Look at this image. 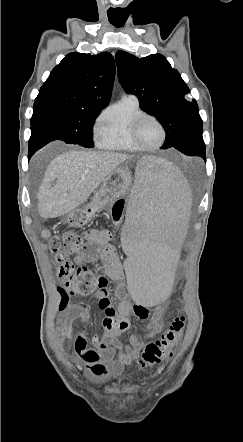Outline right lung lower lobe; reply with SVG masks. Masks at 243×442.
I'll return each mask as SVG.
<instances>
[{"instance_id": "98d812e1", "label": "right lung lower lobe", "mask_w": 243, "mask_h": 442, "mask_svg": "<svg viewBox=\"0 0 243 442\" xmlns=\"http://www.w3.org/2000/svg\"><path fill=\"white\" fill-rule=\"evenodd\" d=\"M55 140L54 137L51 136H45L41 134H35L31 135L29 140V158L32 156V154L40 149L41 147L45 146L49 142Z\"/></svg>"}]
</instances>
